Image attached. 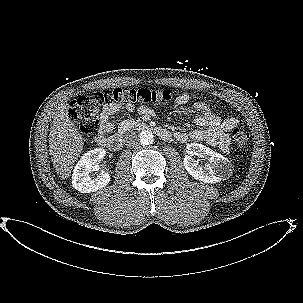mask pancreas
Here are the masks:
<instances>
[{
	"label": "pancreas",
	"instance_id": "cf45deb5",
	"mask_svg": "<svg viewBox=\"0 0 303 303\" xmlns=\"http://www.w3.org/2000/svg\"><path fill=\"white\" fill-rule=\"evenodd\" d=\"M138 124L139 121L134 119H128L123 121L119 127V134H123L125 131L133 129Z\"/></svg>",
	"mask_w": 303,
	"mask_h": 303
}]
</instances>
